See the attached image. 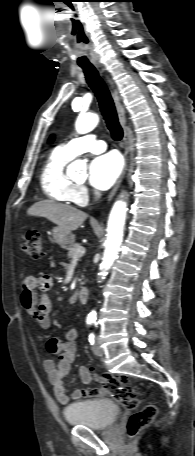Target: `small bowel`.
<instances>
[{
	"instance_id": "small-bowel-1",
	"label": "small bowel",
	"mask_w": 195,
	"mask_h": 456,
	"mask_svg": "<svg viewBox=\"0 0 195 456\" xmlns=\"http://www.w3.org/2000/svg\"><path fill=\"white\" fill-rule=\"evenodd\" d=\"M52 285V278L45 273L27 276L21 285V304L28 315L36 321L42 330H47L50 327L52 304L46 296V292L49 291ZM36 291L42 294L40 298L37 297ZM76 338L77 331L75 329H67L62 336L52 337L46 342V351L50 355L56 356L58 361L55 362L51 358H46L43 361V367L53 386L54 395L61 404H67L69 401L65 377L75 360ZM78 377L85 385H89L92 381L91 372L85 366L79 368ZM104 394L105 391L100 388L75 389L71 393V398L73 400H79L82 398L103 396Z\"/></svg>"
}]
</instances>
